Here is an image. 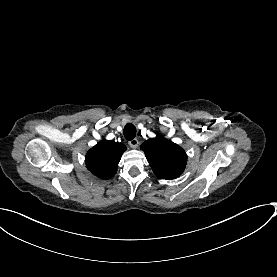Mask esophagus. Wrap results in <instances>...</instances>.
Listing matches in <instances>:
<instances>
[{
	"mask_svg": "<svg viewBox=\"0 0 277 277\" xmlns=\"http://www.w3.org/2000/svg\"><path fill=\"white\" fill-rule=\"evenodd\" d=\"M128 144L130 145V147H132L133 149H135L138 146V140L136 138H134L133 140H130L128 142Z\"/></svg>",
	"mask_w": 277,
	"mask_h": 277,
	"instance_id": "esophagus-1",
	"label": "esophagus"
}]
</instances>
